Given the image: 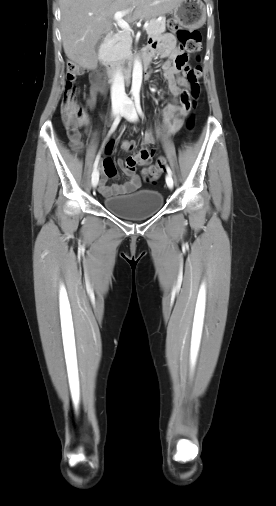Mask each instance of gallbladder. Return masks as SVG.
<instances>
[{"label":"gallbladder","mask_w":276,"mask_h":506,"mask_svg":"<svg viewBox=\"0 0 276 506\" xmlns=\"http://www.w3.org/2000/svg\"><path fill=\"white\" fill-rule=\"evenodd\" d=\"M102 42H103V37L98 41V43L96 45V49H99V47L102 44Z\"/></svg>","instance_id":"1"}]
</instances>
